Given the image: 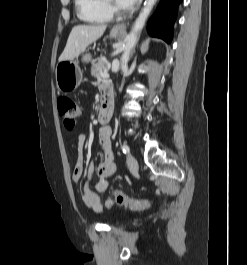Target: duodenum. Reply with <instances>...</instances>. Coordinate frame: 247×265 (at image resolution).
<instances>
[{
	"label": "duodenum",
	"instance_id": "410a0bca",
	"mask_svg": "<svg viewBox=\"0 0 247 265\" xmlns=\"http://www.w3.org/2000/svg\"><path fill=\"white\" fill-rule=\"evenodd\" d=\"M112 92L110 87L102 90L101 108L98 115L100 123H105L111 118Z\"/></svg>",
	"mask_w": 247,
	"mask_h": 265
}]
</instances>
